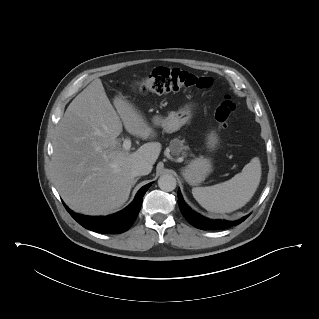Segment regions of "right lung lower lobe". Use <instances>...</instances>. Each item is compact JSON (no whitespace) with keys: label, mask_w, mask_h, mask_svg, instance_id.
I'll list each match as a JSON object with an SVG mask.
<instances>
[{"label":"right lung lower lobe","mask_w":319,"mask_h":319,"mask_svg":"<svg viewBox=\"0 0 319 319\" xmlns=\"http://www.w3.org/2000/svg\"><path fill=\"white\" fill-rule=\"evenodd\" d=\"M143 186L136 194L135 199L122 211L106 217H90L79 215L71 211L65 204L70 215L84 228L104 234H119L127 231L134 223L141 208L142 198L149 186Z\"/></svg>","instance_id":"obj_1"}]
</instances>
